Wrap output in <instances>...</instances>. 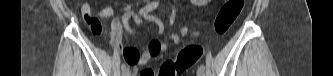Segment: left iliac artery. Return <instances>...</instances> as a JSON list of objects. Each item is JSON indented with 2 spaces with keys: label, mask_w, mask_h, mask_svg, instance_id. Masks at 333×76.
Here are the masks:
<instances>
[{
  "label": "left iliac artery",
  "mask_w": 333,
  "mask_h": 76,
  "mask_svg": "<svg viewBox=\"0 0 333 76\" xmlns=\"http://www.w3.org/2000/svg\"><path fill=\"white\" fill-rule=\"evenodd\" d=\"M199 69H200V70H205V66H204L203 64H201V65L199 66Z\"/></svg>",
  "instance_id": "left-iliac-artery-1"
}]
</instances>
